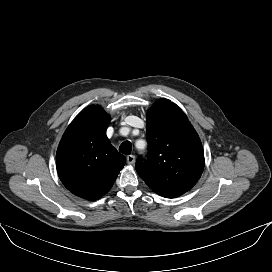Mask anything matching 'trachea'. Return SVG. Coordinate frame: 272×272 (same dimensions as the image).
Masks as SVG:
<instances>
[{
    "label": "trachea",
    "mask_w": 272,
    "mask_h": 272,
    "mask_svg": "<svg viewBox=\"0 0 272 272\" xmlns=\"http://www.w3.org/2000/svg\"><path fill=\"white\" fill-rule=\"evenodd\" d=\"M131 150H132V145L130 141L123 142L119 147V151L125 155H129L131 153Z\"/></svg>",
    "instance_id": "obj_1"
}]
</instances>
